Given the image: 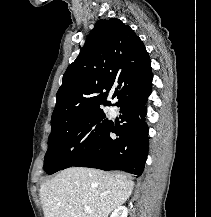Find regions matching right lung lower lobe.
Wrapping results in <instances>:
<instances>
[{
    "mask_svg": "<svg viewBox=\"0 0 211 217\" xmlns=\"http://www.w3.org/2000/svg\"><path fill=\"white\" fill-rule=\"evenodd\" d=\"M152 72L134 81L116 102L122 125L111 121L97 147L73 166L122 170L140 176L148 154L145 101L151 93ZM118 137L113 139L111 134Z\"/></svg>",
    "mask_w": 211,
    "mask_h": 217,
    "instance_id": "right-lung-lower-lobe-1",
    "label": "right lung lower lobe"
}]
</instances>
